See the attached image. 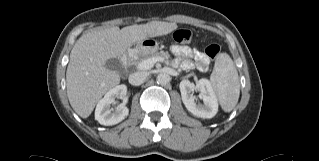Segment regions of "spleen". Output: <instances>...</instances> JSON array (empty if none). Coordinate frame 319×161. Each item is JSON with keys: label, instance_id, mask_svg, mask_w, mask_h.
Masks as SVG:
<instances>
[{"label": "spleen", "instance_id": "spleen-1", "mask_svg": "<svg viewBox=\"0 0 319 161\" xmlns=\"http://www.w3.org/2000/svg\"><path fill=\"white\" fill-rule=\"evenodd\" d=\"M210 83L221 108L230 112L236 106L240 95L237 69L227 53H220L210 76Z\"/></svg>", "mask_w": 319, "mask_h": 161}]
</instances>
